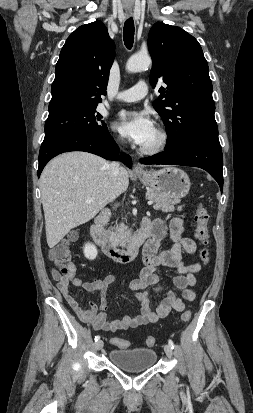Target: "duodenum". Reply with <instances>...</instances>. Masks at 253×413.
<instances>
[{
  "mask_svg": "<svg viewBox=\"0 0 253 413\" xmlns=\"http://www.w3.org/2000/svg\"><path fill=\"white\" fill-rule=\"evenodd\" d=\"M110 216L108 209H103L94 219L90 232L93 240L104 254L116 262L128 263L138 255L139 248L152 236V229L148 221L144 220L141 228L130 239L126 248L118 247L107 235L104 225Z\"/></svg>",
  "mask_w": 253,
  "mask_h": 413,
  "instance_id": "obj_1",
  "label": "duodenum"
}]
</instances>
